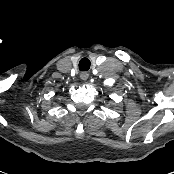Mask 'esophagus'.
Segmentation results:
<instances>
[{"label": "esophagus", "mask_w": 174, "mask_h": 174, "mask_svg": "<svg viewBox=\"0 0 174 174\" xmlns=\"http://www.w3.org/2000/svg\"><path fill=\"white\" fill-rule=\"evenodd\" d=\"M80 77H81L82 80H87L88 77H89V74L87 72H82L80 74Z\"/></svg>", "instance_id": "1"}]
</instances>
